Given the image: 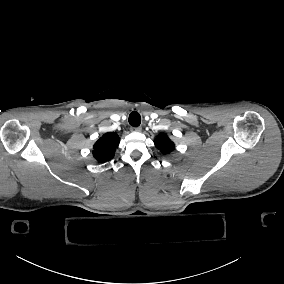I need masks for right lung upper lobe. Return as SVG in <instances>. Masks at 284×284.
<instances>
[{
	"label": "right lung upper lobe",
	"mask_w": 284,
	"mask_h": 284,
	"mask_svg": "<svg viewBox=\"0 0 284 284\" xmlns=\"http://www.w3.org/2000/svg\"><path fill=\"white\" fill-rule=\"evenodd\" d=\"M120 138L114 133L104 134L95 144L93 156L99 163L110 161L114 157L116 148L119 145Z\"/></svg>",
	"instance_id": "cb5924a9"
}]
</instances>
